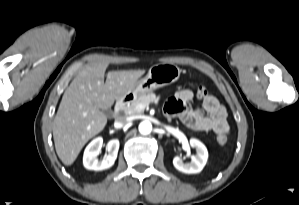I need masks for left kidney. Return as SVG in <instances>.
<instances>
[{"instance_id": "left-kidney-1", "label": "left kidney", "mask_w": 299, "mask_h": 205, "mask_svg": "<svg viewBox=\"0 0 299 205\" xmlns=\"http://www.w3.org/2000/svg\"><path fill=\"white\" fill-rule=\"evenodd\" d=\"M190 145L196 149V155L191 157V162L184 163L180 157H175L173 159V165L177 170L183 173L195 174L201 172L206 165L208 151L205 145L195 138L190 139Z\"/></svg>"}]
</instances>
